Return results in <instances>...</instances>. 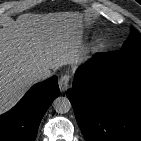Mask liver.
I'll return each instance as SVG.
<instances>
[{"label": "liver", "instance_id": "obj_1", "mask_svg": "<svg viewBox=\"0 0 141 141\" xmlns=\"http://www.w3.org/2000/svg\"><path fill=\"white\" fill-rule=\"evenodd\" d=\"M83 27L77 12L21 14L0 28V114L39 80V68L83 60Z\"/></svg>", "mask_w": 141, "mask_h": 141}]
</instances>
